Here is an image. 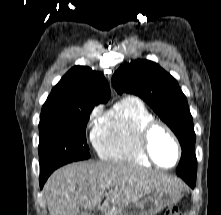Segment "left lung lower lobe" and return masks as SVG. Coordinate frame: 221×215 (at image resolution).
<instances>
[{"instance_id":"obj_1","label":"left lung lower lobe","mask_w":221,"mask_h":215,"mask_svg":"<svg viewBox=\"0 0 221 215\" xmlns=\"http://www.w3.org/2000/svg\"><path fill=\"white\" fill-rule=\"evenodd\" d=\"M191 188L195 187L196 184V177L189 178V177H181Z\"/></svg>"}]
</instances>
